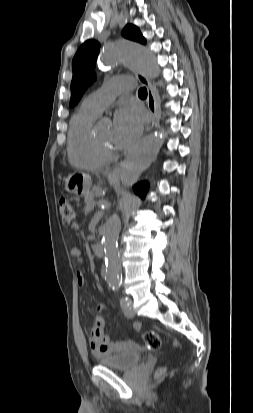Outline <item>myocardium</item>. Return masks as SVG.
I'll return each mask as SVG.
<instances>
[{
	"instance_id": "f54148a6",
	"label": "myocardium",
	"mask_w": 253,
	"mask_h": 413,
	"mask_svg": "<svg viewBox=\"0 0 253 413\" xmlns=\"http://www.w3.org/2000/svg\"><path fill=\"white\" fill-rule=\"evenodd\" d=\"M92 143L97 154L104 160H112L116 158L117 152L113 147L105 145L97 135V126L92 129Z\"/></svg>"
}]
</instances>
